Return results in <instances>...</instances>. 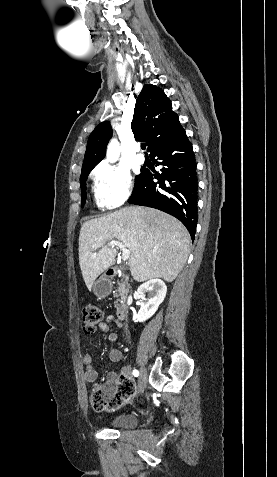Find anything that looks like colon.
<instances>
[{
    "instance_id": "5ec220e1",
    "label": "colon",
    "mask_w": 277,
    "mask_h": 477,
    "mask_svg": "<svg viewBox=\"0 0 277 477\" xmlns=\"http://www.w3.org/2000/svg\"><path fill=\"white\" fill-rule=\"evenodd\" d=\"M103 318L101 308L89 303L82 309V322L87 335H92ZM134 387L131 381L121 380L116 383L96 385L90 396V404L97 412H111L127 402Z\"/></svg>"
}]
</instances>
